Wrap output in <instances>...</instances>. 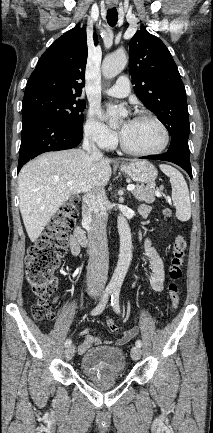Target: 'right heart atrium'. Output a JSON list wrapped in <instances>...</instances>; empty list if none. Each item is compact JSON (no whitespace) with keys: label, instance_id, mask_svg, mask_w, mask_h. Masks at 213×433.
<instances>
[{"label":"right heart atrium","instance_id":"d8ad5b80","mask_svg":"<svg viewBox=\"0 0 213 433\" xmlns=\"http://www.w3.org/2000/svg\"><path fill=\"white\" fill-rule=\"evenodd\" d=\"M84 134L92 143L103 149L112 148L116 143V135L101 123L94 111L88 113Z\"/></svg>","mask_w":213,"mask_h":433}]
</instances>
